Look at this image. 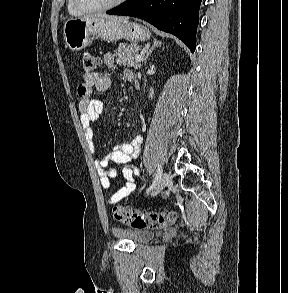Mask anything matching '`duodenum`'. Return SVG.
Segmentation results:
<instances>
[{"label": "duodenum", "instance_id": "1", "mask_svg": "<svg viewBox=\"0 0 288 293\" xmlns=\"http://www.w3.org/2000/svg\"><path fill=\"white\" fill-rule=\"evenodd\" d=\"M133 83L135 85V88L139 89V83H138V81L136 79L133 81Z\"/></svg>", "mask_w": 288, "mask_h": 293}]
</instances>
